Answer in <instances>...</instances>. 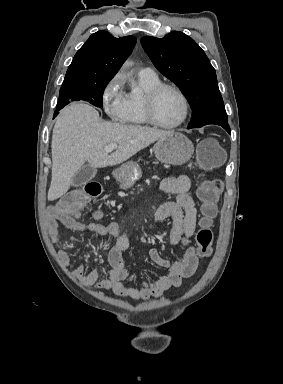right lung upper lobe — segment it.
<instances>
[{"label": "right lung upper lobe", "instance_id": "obj_1", "mask_svg": "<svg viewBox=\"0 0 283 384\" xmlns=\"http://www.w3.org/2000/svg\"><path fill=\"white\" fill-rule=\"evenodd\" d=\"M135 44L134 36L115 38L106 31L92 34L74 56L62 87L108 83Z\"/></svg>", "mask_w": 283, "mask_h": 384}]
</instances>
